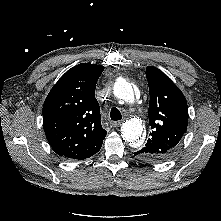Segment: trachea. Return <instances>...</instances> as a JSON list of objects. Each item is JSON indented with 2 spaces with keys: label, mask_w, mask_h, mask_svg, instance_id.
<instances>
[{
  "label": "trachea",
  "mask_w": 221,
  "mask_h": 221,
  "mask_svg": "<svg viewBox=\"0 0 221 221\" xmlns=\"http://www.w3.org/2000/svg\"><path fill=\"white\" fill-rule=\"evenodd\" d=\"M110 117H111V120H113V121H118V120L122 119L121 112L116 107H113L111 109Z\"/></svg>",
  "instance_id": "3493384b"
}]
</instances>
